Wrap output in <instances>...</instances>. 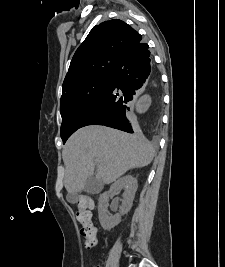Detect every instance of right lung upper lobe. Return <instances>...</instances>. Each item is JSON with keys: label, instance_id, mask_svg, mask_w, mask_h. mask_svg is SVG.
<instances>
[{"label": "right lung upper lobe", "instance_id": "1", "mask_svg": "<svg viewBox=\"0 0 225 267\" xmlns=\"http://www.w3.org/2000/svg\"><path fill=\"white\" fill-rule=\"evenodd\" d=\"M141 40L136 30L119 19L94 26L71 60L62 92L85 80L112 74L121 56Z\"/></svg>", "mask_w": 225, "mask_h": 267}]
</instances>
